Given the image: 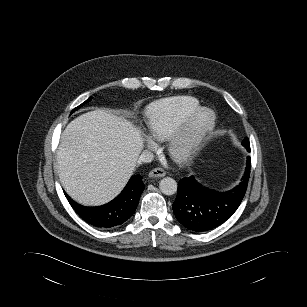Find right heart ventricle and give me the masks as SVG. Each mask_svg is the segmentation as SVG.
<instances>
[{"label":"right heart ventricle","instance_id":"obj_1","mask_svg":"<svg viewBox=\"0 0 307 307\" xmlns=\"http://www.w3.org/2000/svg\"><path fill=\"white\" fill-rule=\"evenodd\" d=\"M199 106L196 98L186 95L153 102L146 111L149 134L158 141L167 140Z\"/></svg>","mask_w":307,"mask_h":307}]
</instances>
